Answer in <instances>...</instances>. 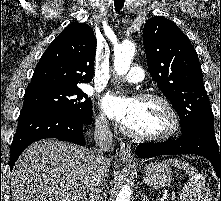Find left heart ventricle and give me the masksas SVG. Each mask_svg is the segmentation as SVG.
Masks as SVG:
<instances>
[{"mask_svg":"<svg viewBox=\"0 0 221 201\" xmlns=\"http://www.w3.org/2000/svg\"><path fill=\"white\" fill-rule=\"evenodd\" d=\"M123 125L140 134H162L169 129L170 120L159 102L135 100L132 113Z\"/></svg>","mask_w":221,"mask_h":201,"instance_id":"left-heart-ventricle-1","label":"left heart ventricle"}]
</instances>
